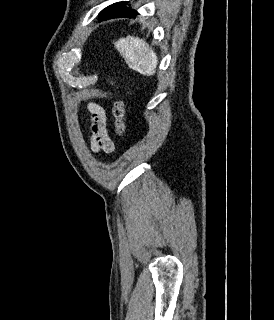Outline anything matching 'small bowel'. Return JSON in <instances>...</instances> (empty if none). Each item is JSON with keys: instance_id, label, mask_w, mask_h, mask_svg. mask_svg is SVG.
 Segmentation results:
<instances>
[{"instance_id": "c3829d8e", "label": "small bowel", "mask_w": 274, "mask_h": 320, "mask_svg": "<svg viewBox=\"0 0 274 320\" xmlns=\"http://www.w3.org/2000/svg\"><path fill=\"white\" fill-rule=\"evenodd\" d=\"M88 109V132L92 149L95 152L111 153L114 144L106 130V114L104 109L94 102L87 105Z\"/></svg>"}]
</instances>
